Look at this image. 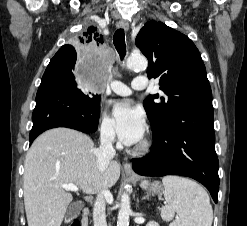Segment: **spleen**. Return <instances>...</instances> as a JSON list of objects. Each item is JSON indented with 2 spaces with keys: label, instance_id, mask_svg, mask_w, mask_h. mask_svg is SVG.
<instances>
[{
  "label": "spleen",
  "instance_id": "spleen-1",
  "mask_svg": "<svg viewBox=\"0 0 247 226\" xmlns=\"http://www.w3.org/2000/svg\"><path fill=\"white\" fill-rule=\"evenodd\" d=\"M166 206L161 217L171 221L170 226H211L213 210L207 192L196 182L179 176L162 179Z\"/></svg>",
  "mask_w": 247,
  "mask_h": 226
}]
</instances>
